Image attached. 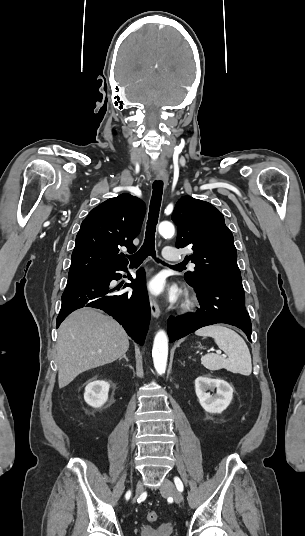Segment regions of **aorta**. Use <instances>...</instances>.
Wrapping results in <instances>:
<instances>
[{
  "label": "aorta",
  "instance_id": "obj_1",
  "mask_svg": "<svg viewBox=\"0 0 305 536\" xmlns=\"http://www.w3.org/2000/svg\"><path fill=\"white\" fill-rule=\"evenodd\" d=\"M158 231L163 237L170 238L174 235L175 228L171 222H161L159 224ZM152 357L157 373L159 375L164 374L166 371L168 358V338L163 330L158 331L155 335Z\"/></svg>",
  "mask_w": 305,
  "mask_h": 536
}]
</instances>
